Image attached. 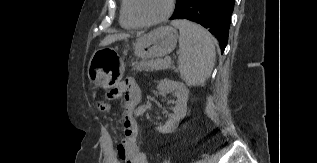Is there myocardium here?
<instances>
[{
  "label": "myocardium",
  "mask_w": 317,
  "mask_h": 163,
  "mask_svg": "<svg viewBox=\"0 0 317 163\" xmlns=\"http://www.w3.org/2000/svg\"><path fill=\"white\" fill-rule=\"evenodd\" d=\"M128 13L129 16L131 18V20L140 27H151V26H156L160 23H163L164 21H166L173 13L174 8H175V0H167V8L166 11L164 12V14H162L160 17L153 19V20H149V21H143L140 20L134 13L133 10V0H128Z\"/></svg>",
  "instance_id": "1"
}]
</instances>
